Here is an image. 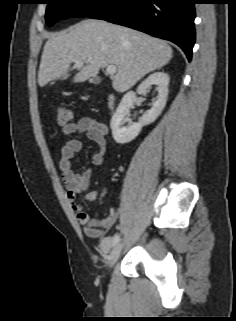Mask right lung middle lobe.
<instances>
[{
  "mask_svg": "<svg viewBox=\"0 0 236 321\" xmlns=\"http://www.w3.org/2000/svg\"><path fill=\"white\" fill-rule=\"evenodd\" d=\"M111 0H46V23L49 26L68 17H88Z\"/></svg>",
  "mask_w": 236,
  "mask_h": 321,
  "instance_id": "obj_1",
  "label": "right lung middle lobe"
}]
</instances>
